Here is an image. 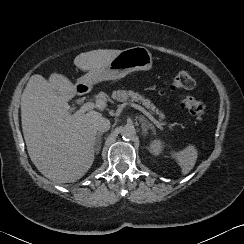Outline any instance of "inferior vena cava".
Segmentation results:
<instances>
[{"label":"inferior vena cava","instance_id":"1","mask_svg":"<svg viewBox=\"0 0 244 244\" xmlns=\"http://www.w3.org/2000/svg\"><path fill=\"white\" fill-rule=\"evenodd\" d=\"M110 121L102 116L94 121V127L99 132H105L110 129Z\"/></svg>","mask_w":244,"mask_h":244}]
</instances>
